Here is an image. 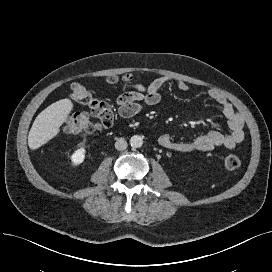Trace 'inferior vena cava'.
<instances>
[{
    "label": "inferior vena cava",
    "instance_id": "1",
    "mask_svg": "<svg viewBox=\"0 0 272 272\" xmlns=\"http://www.w3.org/2000/svg\"><path fill=\"white\" fill-rule=\"evenodd\" d=\"M127 142L125 139L120 138L115 142V148L119 151H123L127 148Z\"/></svg>",
    "mask_w": 272,
    "mask_h": 272
}]
</instances>
